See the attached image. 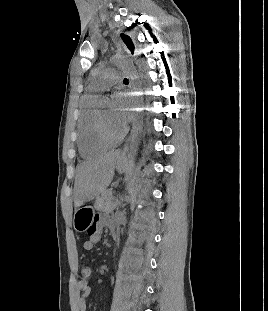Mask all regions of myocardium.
<instances>
[{
    "label": "myocardium",
    "mask_w": 268,
    "mask_h": 311,
    "mask_svg": "<svg viewBox=\"0 0 268 311\" xmlns=\"http://www.w3.org/2000/svg\"><path fill=\"white\" fill-rule=\"evenodd\" d=\"M127 126L124 125L121 129V131L114 135L111 134L104 122V118H103V114L101 112V110L98 108L97 109V115H96V132L98 137L109 144H115L117 142H120L127 134Z\"/></svg>",
    "instance_id": "f54148a6"
}]
</instances>
